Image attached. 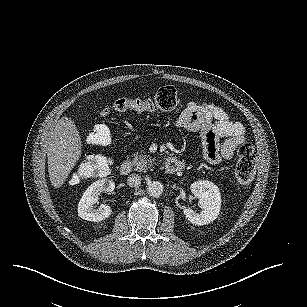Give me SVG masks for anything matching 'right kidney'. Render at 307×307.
Returning <instances> with one entry per match:
<instances>
[{"instance_id": "1", "label": "right kidney", "mask_w": 307, "mask_h": 307, "mask_svg": "<svg viewBox=\"0 0 307 307\" xmlns=\"http://www.w3.org/2000/svg\"><path fill=\"white\" fill-rule=\"evenodd\" d=\"M115 189V183L112 179H101L92 183L83 193L77 207L78 216L91 222H100L108 218L111 213V207L101 204L98 209L93 205L98 202L99 195L102 192L112 193Z\"/></svg>"}]
</instances>
